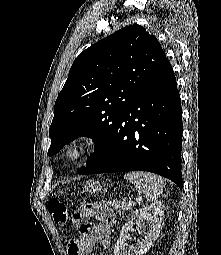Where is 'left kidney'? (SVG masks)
<instances>
[{
    "label": "left kidney",
    "mask_w": 221,
    "mask_h": 255,
    "mask_svg": "<svg viewBox=\"0 0 221 255\" xmlns=\"http://www.w3.org/2000/svg\"><path fill=\"white\" fill-rule=\"evenodd\" d=\"M164 217V204L161 201L134 211L122 227L114 248V255H143L158 238ZM137 224L143 239L134 248H125L129 232Z\"/></svg>",
    "instance_id": "1"
}]
</instances>
